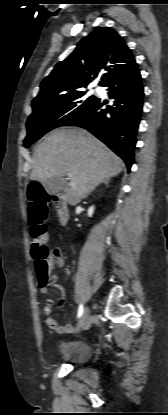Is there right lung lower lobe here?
Listing matches in <instances>:
<instances>
[{"label":"right lung lower lobe","instance_id":"right-lung-lower-lobe-1","mask_svg":"<svg viewBox=\"0 0 168 415\" xmlns=\"http://www.w3.org/2000/svg\"><path fill=\"white\" fill-rule=\"evenodd\" d=\"M104 87L108 88V95L114 103L103 108L107 102L98 99L90 109L65 126H78L91 132L120 156L130 170L134 163L144 95L137 64L111 79Z\"/></svg>","mask_w":168,"mask_h":415}]
</instances>
